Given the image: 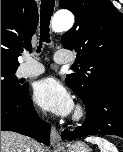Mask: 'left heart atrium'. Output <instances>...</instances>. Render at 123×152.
<instances>
[{"instance_id":"39dd6f15","label":"left heart atrium","mask_w":123,"mask_h":152,"mask_svg":"<svg viewBox=\"0 0 123 152\" xmlns=\"http://www.w3.org/2000/svg\"><path fill=\"white\" fill-rule=\"evenodd\" d=\"M35 102L56 115L66 116L73 109V101L67 89L54 78L38 81L34 87Z\"/></svg>"}]
</instances>
